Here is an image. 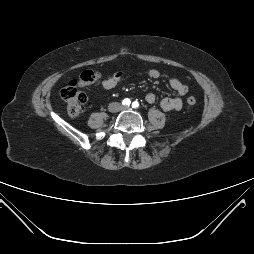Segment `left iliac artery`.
Here are the masks:
<instances>
[{
  "label": "left iliac artery",
  "mask_w": 254,
  "mask_h": 254,
  "mask_svg": "<svg viewBox=\"0 0 254 254\" xmlns=\"http://www.w3.org/2000/svg\"><path fill=\"white\" fill-rule=\"evenodd\" d=\"M139 106V103L137 102V101H134L133 103H132V107L133 108H137Z\"/></svg>",
  "instance_id": "1"
}]
</instances>
